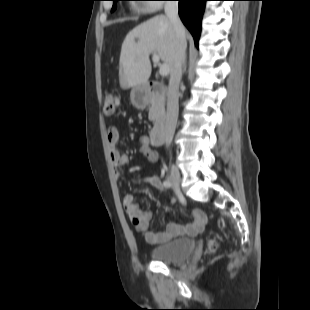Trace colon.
Masks as SVG:
<instances>
[{
    "mask_svg": "<svg viewBox=\"0 0 310 310\" xmlns=\"http://www.w3.org/2000/svg\"><path fill=\"white\" fill-rule=\"evenodd\" d=\"M101 104L104 111L108 114H111L116 110L119 104V98L114 92H106L101 98ZM208 248L210 252L216 251L217 242L215 240H211L209 242Z\"/></svg>",
    "mask_w": 310,
    "mask_h": 310,
    "instance_id": "colon-1",
    "label": "colon"
}]
</instances>
